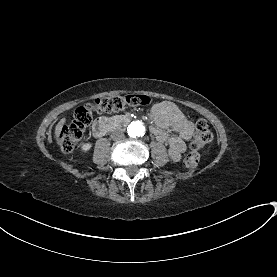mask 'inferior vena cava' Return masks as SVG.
<instances>
[{"instance_id": "1", "label": "inferior vena cava", "mask_w": 277, "mask_h": 277, "mask_svg": "<svg viewBox=\"0 0 277 277\" xmlns=\"http://www.w3.org/2000/svg\"><path fill=\"white\" fill-rule=\"evenodd\" d=\"M111 138L115 141L123 140L125 138L124 133L120 130H115L111 134Z\"/></svg>"}]
</instances>
